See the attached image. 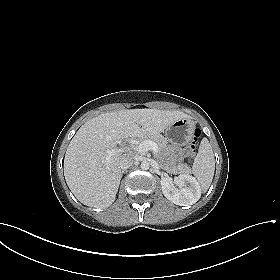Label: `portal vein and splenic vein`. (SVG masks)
<instances>
[{
    "mask_svg": "<svg viewBox=\"0 0 280 280\" xmlns=\"http://www.w3.org/2000/svg\"><path fill=\"white\" fill-rule=\"evenodd\" d=\"M130 149H132V150H134V151H136V152H138V153H140V154L145 153V152H148L149 150H152L153 153L155 154V153H157L158 150H159L158 145H157L155 142H153V141H151V140H146V141L140 143L138 146L132 145V146H130V147L119 148V149H116V150H110V151H108V156H107V158H106V163H109V162H110V157H111L114 153H116V152H124V151L130 150Z\"/></svg>",
    "mask_w": 280,
    "mask_h": 280,
    "instance_id": "portal-vein-and-splenic-vein-1",
    "label": "portal vein and splenic vein"
}]
</instances>
